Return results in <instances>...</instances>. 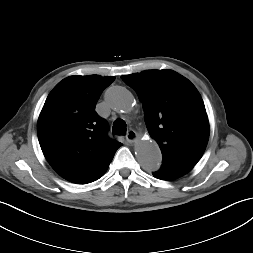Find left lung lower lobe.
<instances>
[{
  "mask_svg": "<svg viewBox=\"0 0 253 253\" xmlns=\"http://www.w3.org/2000/svg\"><path fill=\"white\" fill-rule=\"evenodd\" d=\"M192 168L189 165L163 163L160 170L154 172L153 176L161 180H173L185 175Z\"/></svg>",
  "mask_w": 253,
  "mask_h": 253,
  "instance_id": "left-lung-lower-lobe-1",
  "label": "left lung lower lobe"
}]
</instances>
